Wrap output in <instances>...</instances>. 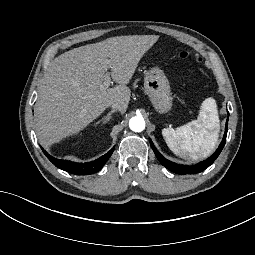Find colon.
<instances>
[{"label":"colon","mask_w":255,"mask_h":255,"mask_svg":"<svg viewBox=\"0 0 255 255\" xmlns=\"http://www.w3.org/2000/svg\"><path fill=\"white\" fill-rule=\"evenodd\" d=\"M179 58L183 59V60H187V59H193L196 62H199L200 59L197 57L192 56L189 52L183 51L179 53Z\"/></svg>","instance_id":"colon-1"}]
</instances>
